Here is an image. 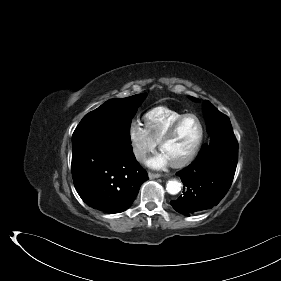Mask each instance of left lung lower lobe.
<instances>
[{
    "mask_svg": "<svg viewBox=\"0 0 281 281\" xmlns=\"http://www.w3.org/2000/svg\"><path fill=\"white\" fill-rule=\"evenodd\" d=\"M238 161V148L220 150L204 147L197 159L177 175L183 194L170 204L189 216L217 205L229 190Z\"/></svg>",
    "mask_w": 281,
    "mask_h": 281,
    "instance_id": "1",
    "label": "left lung lower lobe"
}]
</instances>
